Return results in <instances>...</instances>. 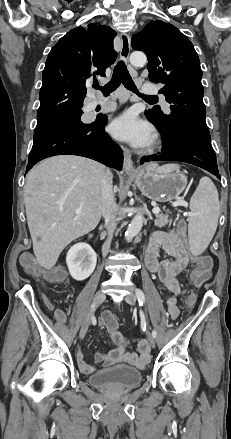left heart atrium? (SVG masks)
I'll return each instance as SVG.
<instances>
[{"label": "left heart atrium", "mask_w": 231, "mask_h": 439, "mask_svg": "<svg viewBox=\"0 0 231 439\" xmlns=\"http://www.w3.org/2000/svg\"><path fill=\"white\" fill-rule=\"evenodd\" d=\"M111 133L118 139L129 141L137 147L149 145L153 140L152 127L139 119L133 111H126L110 126Z\"/></svg>", "instance_id": "39dd6f15"}]
</instances>
